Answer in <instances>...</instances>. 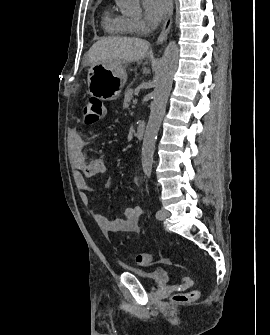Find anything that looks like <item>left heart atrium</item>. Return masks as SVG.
Listing matches in <instances>:
<instances>
[{
    "mask_svg": "<svg viewBox=\"0 0 270 335\" xmlns=\"http://www.w3.org/2000/svg\"><path fill=\"white\" fill-rule=\"evenodd\" d=\"M144 11L152 29H157L169 14L170 5L167 0H144Z\"/></svg>",
    "mask_w": 270,
    "mask_h": 335,
    "instance_id": "left-heart-atrium-1",
    "label": "left heart atrium"
}]
</instances>
